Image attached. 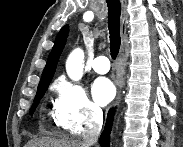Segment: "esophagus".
Instances as JSON below:
<instances>
[{
  "instance_id": "34e87169",
  "label": "esophagus",
  "mask_w": 183,
  "mask_h": 147,
  "mask_svg": "<svg viewBox=\"0 0 183 147\" xmlns=\"http://www.w3.org/2000/svg\"><path fill=\"white\" fill-rule=\"evenodd\" d=\"M123 4V1H122ZM126 23L127 20L125 17L122 18V24H121V34L124 36L126 34ZM124 50V46L122 45V51ZM121 98V87H118L116 97L113 101L112 107H114Z\"/></svg>"
}]
</instances>
